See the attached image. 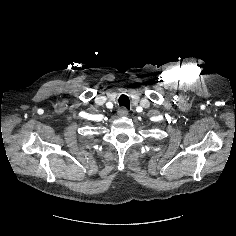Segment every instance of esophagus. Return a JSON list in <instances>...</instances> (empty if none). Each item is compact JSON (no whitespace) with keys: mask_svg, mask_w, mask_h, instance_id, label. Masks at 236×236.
<instances>
[{"mask_svg":"<svg viewBox=\"0 0 236 236\" xmlns=\"http://www.w3.org/2000/svg\"><path fill=\"white\" fill-rule=\"evenodd\" d=\"M118 114L120 116H127L128 115V110L124 107H121V108L118 109Z\"/></svg>","mask_w":236,"mask_h":236,"instance_id":"esophagus-1","label":"esophagus"}]
</instances>
